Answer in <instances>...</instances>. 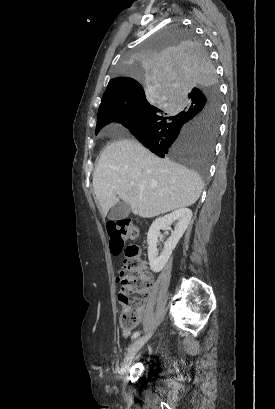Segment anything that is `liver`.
<instances>
[{"mask_svg": "<svg viewBox=\"0 0 275 409\" xmlns=\"http://www.w3.org/2000/svg\"><path fill=\"white\" fill-rule=\"evenodd\" d=\"M202 184L195 170L159 158L135 138L108 144L93 172L102 217H107L120 198L134 215L144 219L191 207L201 194Z\"/></svg>", "mask_w": 275, "mask_h": 409, "instance_id": "liver-1", "label": "liver"}]
</instances>
